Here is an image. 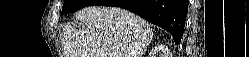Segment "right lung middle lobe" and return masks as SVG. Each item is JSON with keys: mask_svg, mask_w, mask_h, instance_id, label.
I'll list each match as a JSON object with an SVG mask.
<instances>
[{"mask_svg": "<svg viewBox=\"0 0 249 57\" xmlns=\"http://www.w3.org/2000/svg\"><path fill=\"white\" fill-rule=\"evenodd\" d=\"M101 1L103 0H65L61 15L64 13H74L87 6L98 5Z\"/></svg>", "mask_w": 249, "mask_h": 57, "instance_id": "obj_1", "label": "right lung middle lobe"}]
</instances>
